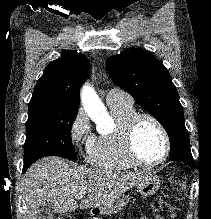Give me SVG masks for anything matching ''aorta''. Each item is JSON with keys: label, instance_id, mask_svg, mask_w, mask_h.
Masks as SVG:
<instances>
[{"label": "aorta", "instance_id": "aorta-1", "mask_svg": "<svg viewBox=\"0 0 211 219\" xmlns=\"http://www.w3.org/2000/svg\"><path fill=\"white\" fill-rule=\"evenodd\" d=\"M82 102L85 110L93 119H104L107 116L103 104L90 87L84 88Z\"/></svg>", "mask_w": 211, "mask_h": 219}]
</instances>
